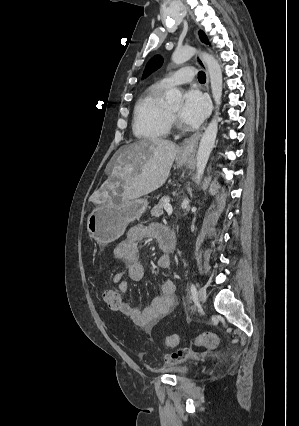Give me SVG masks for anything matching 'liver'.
<instances>
[{"instance_id": "1", "label": "liver", "mask_w": 299, "mask_h": 426, "mask_svg": "<svg viewBox=\"0 0 299 426\" xmlns=\"http://www.w3.org/2000/svg\"><path fill=\"white\" fill-rule=\"evenodd\" d=\"M177 153L175 143L161 138L126 145L118 153L107 184L113 190L123 182L122 200L149 194L165 183Z\"/></svg>"}]
</instances>
